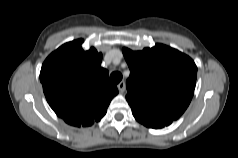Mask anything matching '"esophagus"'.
<instances>
[{"mask_svg": "<svg viewBox=\"0 0 238 158\" xmlns=\"http://www.w3.org/2000/svg\"><path fill=\"white\" fill-rule=\"evenodd\" d=\"M118 90L123 93L125 91L126 85H125V81H121L118 85Z\"/></svg>", "mask_w": 238, "mask_h": 158, "instance_id": "obj_1", "label": "esophagus"}]
</instances>
